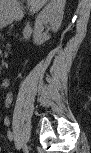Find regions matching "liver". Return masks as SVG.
I'll list each match as a JSON object with an SVG mask.
<instances>
[{
    "label": "liver",
    "mask_w": 91,
    "mask_h": 153,
    "mask_svg": "<svg viewBox=\"0 0 91 153\" xmlns=\"http://www.w3.org/2000/svg\"><path fill=\"white\" fill-rule=\"evenodd\" d=\"M47 2V0H29L28 3L30 4L31 8L30 11L32 13L37 12L40 10L43 5Z\"/></svg>",
    "instance_id": "6515ba94"
}]
</instances>
